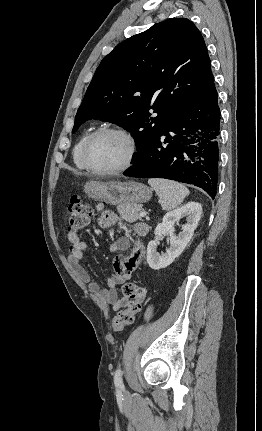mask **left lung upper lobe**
Wrapping results in <instances>:
<instances>
[{
  "label": "left lung upper lobe",
  "instance_id": "obj_1",
  "mask_svg": "<svg viewBox=\"0 0 262 431\" xmlns=\"http://www.w3.org/2000/svg\"><path fill=\"white\" fill-rule=\"evenodd\" d=\"M213 84L200 31L186 18H170L118 44L106 55L80 105L72 132L88 119L130 131L134 163L173 118ZM149 110L157 113L151 117Z\"/></svg>",
  "mask_w": 262,
  "mask_h": 431
}]
</instances>
